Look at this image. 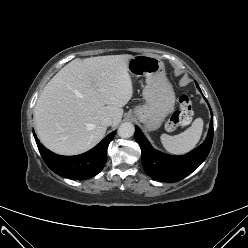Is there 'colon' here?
Here are the masks:
<instances>
[{"label": "colon", "instance_id": "5ec220e1", "mask_svg": "<svg viewBox=\"0 0 248 248\" xmlns=\"http://www.w3.org/2000/svg\"><path fill=\"white\" fill-rule=\"evenodd\" d=\"M192 115V98L186 94H183L179 97V109L172 114L166 124L167 129L174 130L177 127L188 124L192 118Z\"/></svg>", "mask_w": 248, "mask_h": 248}]
</instances>
